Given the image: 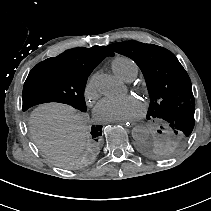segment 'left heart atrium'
<instances>
[{
    "label": "left heart atrium",
    "instance_id": "obj_1",
    "mask_svg": "<svg viewBox=\"0 0 211 211\" xmlns=\"http://www.w3.org/2000/svg\"><path fill=\"white\" fill-rule=\"evenodd\" d=\"M143 101L134 95L120 98H103L94 109V116L100 122L131 120L144 115Z\"/></svg>",
    "mask_w": 211,
    "mask_h": 211
}]
</instances>
